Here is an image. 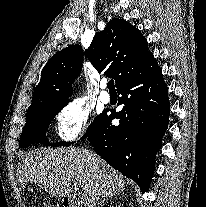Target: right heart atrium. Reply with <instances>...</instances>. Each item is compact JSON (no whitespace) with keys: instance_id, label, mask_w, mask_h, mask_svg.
<instances>
[{"instance_id":"d8ad5b80","label":"right heart atrium","mask_w":206,"mask_h":207,"mask_svg":"<svg viewBox=\"0 0 206 207\" xmlns=\"http://www.w3.org/2000/svg\"><path fill=\"white\" fill-rule=\"evenodd\" d=\"M92 114L79 100L62 106L56 115V133L64 142L74 141L85 134L91 125Z\"/></svg>"}]
</instances>
